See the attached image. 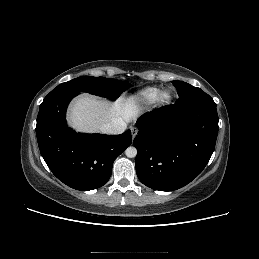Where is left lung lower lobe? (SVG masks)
Returning a JSON list of instances; mask_svg holds the SVG:
<instances>
[{
	"label": "left lung lower lobe",
	"instance_id": "1",
	"mask_svg": "<svg viewBox=\"0 0 259 259\" xmlns=\"http://www.w3.org/2000/svg\"><path fill=\"white\" fill-rule=\"evenodd\" d=\"M215 102H177L138 121L136 173L149 188L173 191L190 183L207 165L218 134Z\"/></svg>",
	"mask_w": 259,
	"mask_h": 259
}]
</instances>
